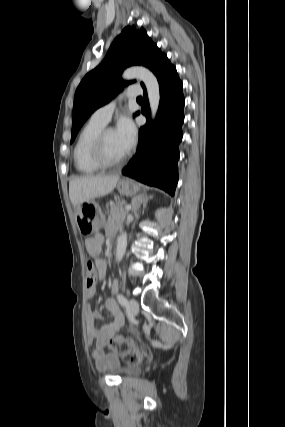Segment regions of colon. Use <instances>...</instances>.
<instances>
[{
	"label": "colon",
	"instance_id": "5ec220e1",
	"mask_svg": "<svg viewBox=\"0 0 285 427\" xmlns=\"http://www.w3.org/2000/svg\"><path fill=\"white\" fill-rule=\"evenodd\" d=\"M86 269V286L90 288L94 286L96 280V269L94 263L90 259L86 262ZM110 347L130 366L136 365L142 358L141 349L135 347L122 337H116L111 340Z\"/></svg>",
	"mask_w": 285,
	"mask_h": 427
}]
</instances>
